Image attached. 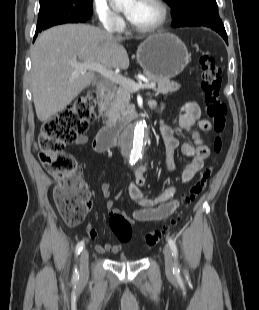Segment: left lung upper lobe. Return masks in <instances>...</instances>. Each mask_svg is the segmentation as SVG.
Segmentation results:
<instances>
[{"instance_id":"5c2ea615","label":"left lung upper lobe","mask_w":259,"mask_h":310,"mask_svg":"<svg viewBox=\"0 0 259 310\" xmlns=\"http://www.w3.org/2000/svg\"><path fill=\"white\" fill-rule=\"evenodd\" d=\"M172 8L173 27L199 23L222 27L215 0H164Z\"/></svg>"}]
</instances>
